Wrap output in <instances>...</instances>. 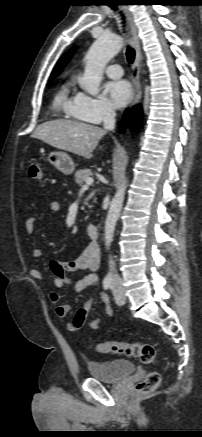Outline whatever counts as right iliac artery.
Returning <instances> with one entry per match:
<instances>
[{"label": "right iliac artery", "mask_w": 202, "mask_h": 437, "mask_svg": "<svg viewBox=\"0 0 202 437\" xmlns=\"http://www.w3.org/2000/svg\"><path fill=\"white\" fill-rule=\"evenodd\" d=\"M111 285H112V279L110 277L104 278V280H103V288L105 290H107V289H109L111 287Z\"/></svg>", "instance_id": "obj_1"}]
</instances>
